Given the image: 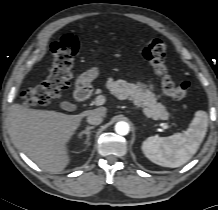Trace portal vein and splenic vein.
Returning <instances> with one entry per match:
<instances>
[{"mask_svg": "<svg viewBox=\"0 0 218 210\" xmlns=\"http://www.w3.org/2000/svg\"><path fill=\"white\" fill-rule=\"evenodd\" d=\"M95 105L99 106V105H103L105 103V97L103 95H99L95 98L94 101ZM161 127L163 129H168L169 125L167 123H161Z\"/></svg>", "mask_w": 218, "mask_h": 210, "instance_id": "portal-vein-and-splenic-vein-1", "label": "portal vein and splenic vein"}]
</instances>
